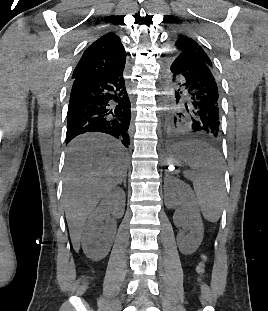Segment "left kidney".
Here are the masks:
<instances>
[{"mask_svg":"<svg viewBox=\"0 0 268 311\" xmlns=\"http://www.w3.org/2000/svg\"><path fill=\"white\" fill-rule=\"evenodd\" d=\"M165 205L168 208L184 207L175 216L176 225L183 228L177 235V243L181 253H194L203 240L204 227L192 189L177 178H168L165 181Z\"/></svg>","mask_w":268,"mask_h":311,"instance_id":"obj_1","label":"left kidney"}]
</instances>
